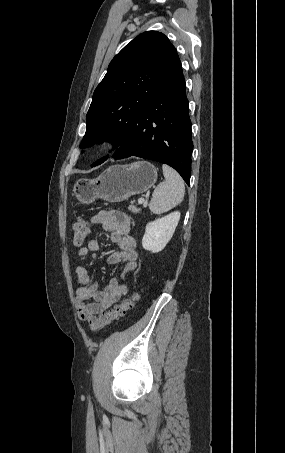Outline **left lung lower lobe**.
I'll use <instances>...</instances> for the list:
<instances>
[{
    "label": "left lung lower lobe",
    "instance_id": "0a47b994",
    "mask_svg": "<svg viewBox=\"0 0 285 453\" xmlns=\"http://www.w3.org/2000/svg\"><path fill=\"white\" fill-rule=\"evenodd\" d=\"M192 151L189 102L181 62L176 55L112 158L137 156L167 164L189 185Z\"/></svg>",
    "mask_w": 285,
    "mask_h": 453
}]
</instances>
